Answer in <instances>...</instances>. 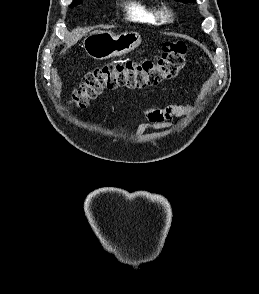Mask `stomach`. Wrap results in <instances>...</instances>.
Here are the masks:
<instances>
[{
  "mask_svg": "<svg viewBox=\"0 0 259 294\" xmlns=\"http://www.w3.org/2000/svg\"><path fill=\"white\" fill-rule=\"evenodd\" d=\"M141 43L136 32H123L119 35L111 31H94L87 35L83 46L89 56L97 60L118 57L133 51Z\"/></svg>",
  "mask_w": 259,
  "mask_h": 294,
  "instance_id": "stomach-1",
  "label": "stomach"
}]
</instances>
